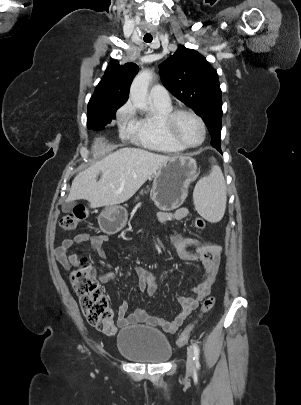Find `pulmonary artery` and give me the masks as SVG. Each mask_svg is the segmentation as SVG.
I'll return each mask as SVG.
<instances>
[{
  "label": "pulmonary artery",
  "instance_id": "obj_1",
  "mask_svg": "<svg viewBox=\"0 0 301 405\" xmlns=\"http://www.w3.org/2000/svg\"><path fill=\"white\" fill-rule=\"evenodd\" d=\"M149 98L151 102L162 105H171V100L168 91L162 85H155L151 88Z\"/></svg>",
  "mask_w": 301,
  "mask_h": 405
}]
</instances>
